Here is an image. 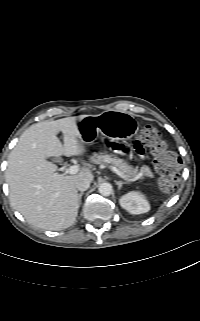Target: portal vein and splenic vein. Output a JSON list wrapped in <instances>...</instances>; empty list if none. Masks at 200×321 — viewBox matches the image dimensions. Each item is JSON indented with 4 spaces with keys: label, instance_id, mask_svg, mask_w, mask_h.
<instances>
[{
    "label": "portal vein and splenic vein",
    "instance_id": "portal-vein-and-splenic-vein-1",
    "mask_svg": "<svg viewBox=\"0 0 200 321\" xmlns=\"http://www.w3.org/2000/svg\"><path fill=\"white\" fill-rule=\"evenodd\" d=\"M80 170V167L78 165H73V166H70L69 168H67L65 170V174H70V175H73V174H76L78 173ZM111 170L113 172H115L118 176H120L121 178H123L124 180H127V181H136L138 179V176L135 177V178H129L127 177L126 175H124L119 169L115 168V167H111Z\"/></svg>",
    "mask_w": 200,
    "mask_h": 321
}]
</instances>
